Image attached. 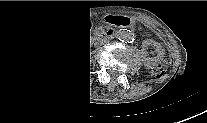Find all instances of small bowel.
Segmentation results:
<instances>
[{"mask_svg": "<svg viewBox=\"0 0 207 123\" xmlns=\"http://www.w3.org/2000/svg\"><path fill=\"white\" fill-rule=\"evenodd\" d=\"M105 22L109 25H119L120 27H129L132 24V19L130 17H125L124 15H113L106 14ZM156 53L150 58L146 59V65L151 66L155 62V60L161 55V50L153 45Z\"/></svg>", "mask_w": 207, "mask_h": 123, "instance_id": "obj_1", "label": "small bowel"}]
</instances>
